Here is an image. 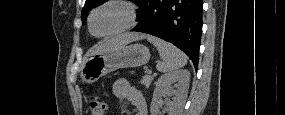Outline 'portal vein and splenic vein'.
<instances>
[{
  "label": "portal vein and splenic vein",
  "mask_w": 285,
  "mask_h": 115,
  "mask_svg": "<svg viewBox=\"0 0 285 115\" xmlns=\"http://www.w3.org/2000/svg\"><path fill=\"white\" fill-rule=\"evenodd\" d=\"M148 73H152V70H148Z\"/></svg>",
  "instance_id": "1"
}]
</instances>
